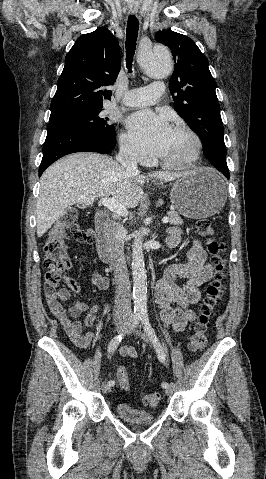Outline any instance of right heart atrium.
<instances>
[{"instance_id": "1", "label": "right heart atrium", "mask_w": 266, "mask_h": 479, "mask_svg": "<svg viewBox=\"0 0 266 479\" xmlns=\"http://www.w3.org/2000/svg\"><path fill=\"white\" fill-rule=\"evenodd\" d=\"M122 155L131 161L144 163L147 161L144 151L133 141L127 133H121L119 138Z\"/></svg>"}]
</instances>
